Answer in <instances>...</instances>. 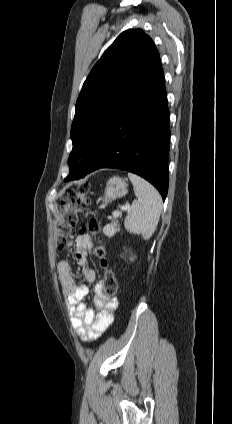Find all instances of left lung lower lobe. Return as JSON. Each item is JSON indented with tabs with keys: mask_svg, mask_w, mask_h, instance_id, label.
Returning <instances> with one entry per match:
<instances>
[{
	"mask_svg": "<svg viewBox=\"0 0 232 424\" xmlns=\"http://www.w3.org/2000/svg\"><path fill=\"white\" fill-rule=\"evenodd\" d=\"M169 141L165 78L159 63L109 128L87 173L100 168L127 170L148 180L165 200Z\"/></svg>",
	"mask_w": 232,
	"mask_h": 424,
	"instance_id": "obj_1",
	"label": "left lung lower lobe"
}]
</instances>
